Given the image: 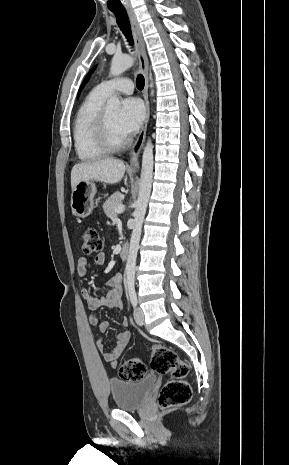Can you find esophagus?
I'll return each instance as SVG.
<instances>
[{
	"label": "esophagus",
	"mask_w": 289,
	"mask_h": 465,
	"mask_svg": "<svg viewBox=\"0 0 289 465\" xmlns=\"http://www.w3.org/2000/svg\"><path fill=\"white\" fill-rule=\"evenodd\" d=\"M127 13L132 25V30H133V35L135 39V44L137 48V54L140 62V67L144 75L145 79V84H144V90H143V97L145 101V110H146V116L143 122V125L141 127V130L139 132V135L132 147L131 150V157H130V169L133 171L138 170L139 168V155L142 150L145 137H146V131H147V125L149 121V100H148V68H149V61H148V56L146 53L145 49V43L142 37V32L140 25L138 23L137 17L133 11L132 8L127 9Z\"/></svg>",
	"instance_id": "1"
}]
</instances>
